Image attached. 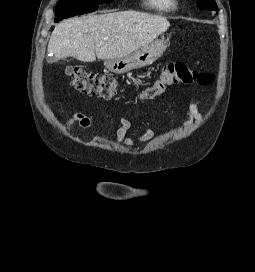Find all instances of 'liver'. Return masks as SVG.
<instances>
[{
	"label": "liver",
	"mask_w": 255,
	"mask_h": 272,
	"mask_svg": "<svg viewBox=\"0 0 255 272\" xmlns=\"http://www.w3.org/2000/svg\"><path fill=\"white\" fill-rule=\"evenodd\" d=\"M170 26L162 16L128 10L87 15L56 25L48 43L55 60L69 56L83 62L127 56L149 44Z\"/></svg>",
	"instance_id": "obj_1"
}]
</instances>
